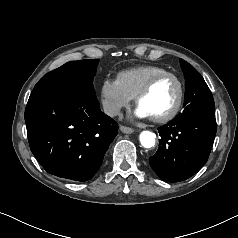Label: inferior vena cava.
I'll use <instances>...</instances> for the list:
<instances>
[{"instance_id": "obj_1", "label": "inferior vena cava", "mask_w": 238, "mask_h": 238, "mask_svg": "<svg viewBox=\"0 0 238 238\" xmlns=\"http://www.w3.org/2000/svg\"><path fill=\"white\" fill-rule=\"evenodd\" d=\"M120 106L116 103L110 102V101H105L103 103V110L104 113L107 114L108 116H116L120 112Z\"/></svg>"}]
</instances>
